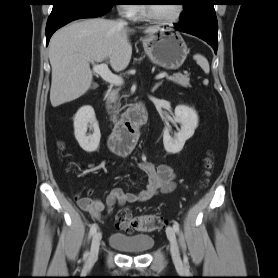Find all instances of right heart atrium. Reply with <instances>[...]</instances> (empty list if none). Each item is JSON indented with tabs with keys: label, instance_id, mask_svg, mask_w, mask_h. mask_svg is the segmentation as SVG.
I'll list each match as a JSON object with an SVG mask.
<instances>
[{
	"label": "right heart atrium",
	"instance_id": "d8ad5b80",
	"mask_svg": "<svg viewBox=\"0 0 278 278\" xmlns=\"http://www.w3.org/2000/svg\"><path fill=\"white\" fill-rule=\"evenodd\" d=\"M119 10L128 18L136 16L139 6L136 4H121L119 5Z\"/></svg>",
	"mask_w": 278,
	"mask_h": 278
}]
</instances>
